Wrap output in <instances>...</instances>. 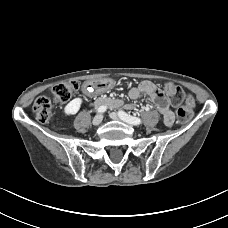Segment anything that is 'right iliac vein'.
Listing matches in <instances>:
<instances>
[{"instance_id": "obj_1", "label": "right iliac vein", "mask_w": 228, "mask_h": 228, "mask_svg": "<svg viewBox=\"0 0 228 228\" xmlns=\"http://www.w3.org/2000/svg\"><path fill=\"white\" fill-rule=\"evenodd\" d=\"M103 120V115L102 114H97L94 118H93V125H99Z\"/></svg>"}]
</instances>
